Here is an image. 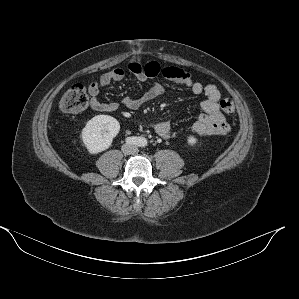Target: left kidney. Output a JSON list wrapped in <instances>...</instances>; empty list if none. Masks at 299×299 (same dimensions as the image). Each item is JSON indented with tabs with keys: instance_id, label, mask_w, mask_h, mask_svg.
Returning <instances> with one entry per match:
<instances>
[{
	"instance_id": "obj_1",
	"label": "left kidney",
	"mask_w": 299,
	"mask_h": 299,
	"mask_svg": "<svg viewBox=\"0 0 299 299\" xmlns=\"http://www.w3.org/2000/svg\"><path fill=\"white\" fill-rule=\"evenodd\" d=\"M197 141H198L197 138L194 136H191V135L188 136V138H187V143L191 146L195 145L197 143Z\"/></svg>"
}]
</instances>
